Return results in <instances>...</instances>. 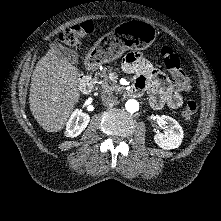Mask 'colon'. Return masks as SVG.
Wrapping results in <instances>:
<instances>
[{
	"label": "colon",
	"mask_w": 221,
	"mask_h": 221,
	"mask_svg": "<svg viewBox=\"0 0 221 221\" xmlns=\"http://www.w3.org/2000/svg\"><path fill=\"white\" fill-rule=\"evenodd\" d=\"M93 31V24L91 21H83L78 23L68 29L60 35V42L62 45L67 47L76 46L80 39L88 36ZM160 57L170 72L175 84L180 89H187L190 87L189 78L183 68V65L179 57L175 52L168 46H162L159 50ZM198 108L197 102L193 99H190L186 102V105L182 111V117L186 121H190Z\"/></svg>",
	"instance_id": "colon-1"
}]
</instances>
